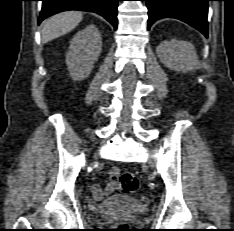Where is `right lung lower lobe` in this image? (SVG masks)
I'll return each instance as SVG.
<instances>
[{
    "label": "right lung lower lobe",
    "mask_w": 234,
    "mask_h": 231,
    "mask_svg": "<svg viewBox=\"0 0 234 231\" xmlns=\"http://www.w3.org/2000/svg\"><path fill=\"white\" fill-rule=\"evenodd\" d=\"M39 23L45 18L66 10L95 12L117 28V3L119 0H42Z\"/></svg>",
    "instance_id": "1"
}]
</instances>
